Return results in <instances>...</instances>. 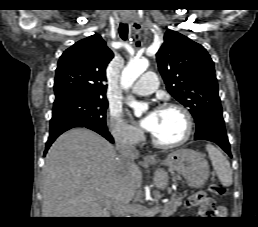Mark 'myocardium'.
<instances>
[{"instance_id": "obj_1", "label": "myocardium", "mask_w": 258, "mask_h": 227, "mask_svg": "<svg viewBox=\"0 0 258 227\" xmlns=\"http://www.w3.org/2000/svg\"><path fill=\"white\" fill-rule=\"evenodd\" d=\"M157 109L158 110L175 109L179 111L185 119L186 129H185L184 135L180 139L174 142H163L159 140L153 133H151L152 144L158 148L170 149V148L179 147L183 145L185 142H187L193 132V118L189 110L184 106L173 102H164L160 104Z\"/></svg>"}]
</instances>
